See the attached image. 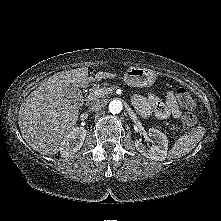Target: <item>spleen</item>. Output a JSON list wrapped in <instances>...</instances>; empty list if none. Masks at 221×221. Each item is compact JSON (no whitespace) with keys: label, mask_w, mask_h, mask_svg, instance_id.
Wrapping results in <instances>:
<instances>
[{"label":"spleen","mask_w":221,"mask_h":221,"mask_svg":"<svg viewBox=\"0 0 221 221\" xmlns=\"http://www.w3.org/2000/svg\"><path fill=\"white\" fill-rule=\"evenodd\" d=\"M204 133V128L198 127L192 132L180 136L169 151L168 157L170 159H176L185 156L195 148L196 144L202 139Z\"/></svg>","instance_id":"spleen-1"}]
</instances>
